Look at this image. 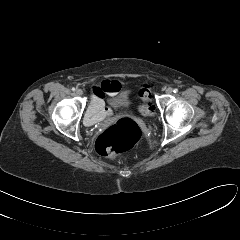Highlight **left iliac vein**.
<instances>
[{"instance_id":"4c4485c4","label":"left iliac vein","mask_w":240,"mask_h":240,"mask_svg":"<svg viewBox=\"0 0 240 240\" xmlns=\"http://www.w3.org/2000/svg\"><path fill=\"white\" fill-rule=\"evenodd\" d=\"M165 92L167 94H172L173 93V89L171 87H168Z\"/></svg>"}]
</instances>
